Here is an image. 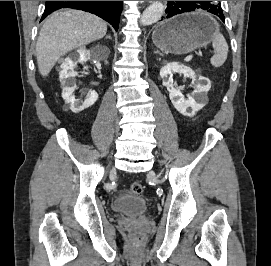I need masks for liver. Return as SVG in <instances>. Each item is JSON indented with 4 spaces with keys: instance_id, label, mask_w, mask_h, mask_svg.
Here are the masks:
<instances>
[{
    "instance_id": "obj_1",
    "label": "liver",
    "mask_w": 271,
    "mask_h": 266,
    "mask_svg": "<svg viewBox=\"0 0 271 266\" xmlns=\"http://www.w3.org/2000/svg\"><path fill=\"white\" fill-rule=\"evenodd\" d=\"M106 33V22L93 14L71 9L53 13L43 24L36 44L40 74L48 76L62 55L101 39Z\"/></svg>"
}]
</instances>
